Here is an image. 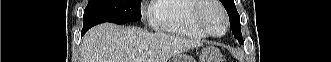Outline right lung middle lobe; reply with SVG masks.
I'll return each instance as SVG.
<instances>
[{
	"label": "right lung middle lobe",
	"instance_id": "obj_1",
	"mask_svg": "<svg viewBox=\"0 0 331 62\" xmlns=\"http://www.w3.org/2000/svg\"><path fill=\"white\" fill-rule=\"evenodd\" d=\"M140 4L139 0H89L84 10L82 34L104 22L124 24L139 21Z\"/></svg>",
	"mask_w": 331,
	"mask_h": 62
}]
</instances>
